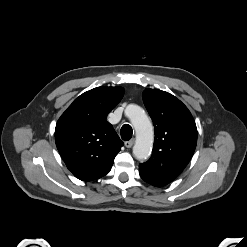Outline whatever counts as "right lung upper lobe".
<instances>
[{
  "label": "right lung upper lobe",
  "mask_w": 247,
  "mask_h": 247,
  "mask_svg": "<svg viewBox=\"0 0 247 247\" xmlns=\"http://www.w3.org/2000/svg\"><path fill=\"white\" fill-rule=\"evenodd\" d=\"M123 94L122 87L94 88L77 97L59 118L56 146L78 179L96 180L111 170L123 142L106 117Z\"/></svg>",
  "instance_id": "cb5924a9"
}]
</instances>
